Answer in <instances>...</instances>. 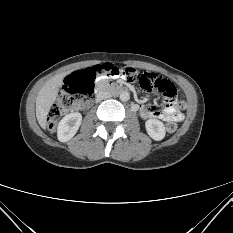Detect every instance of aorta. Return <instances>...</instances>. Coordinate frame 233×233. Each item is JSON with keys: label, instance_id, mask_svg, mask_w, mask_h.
<instances>
[{"label": "aorta", "instance_id": "aorta-1", "mask_svg": "<svg viewBox=\"0 0 233 233\" xmlns=\"http://www.w3.org/2000/svg\"><path fill=\"white\" fill-rule=\"evenodd\" d=\"M130 99V94L127 91H123L120 94V100L121 101H128Z\"/></svg>", "mask_w": 233, "mask_h": 233}]
</instances>
